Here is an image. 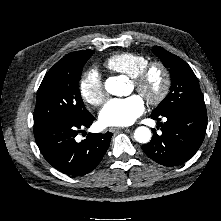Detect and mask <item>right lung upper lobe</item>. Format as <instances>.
I'll return each instance as SVG.
<instances>
[{"instance_id": "obj_1", "label": "right lung upper lobe", "mask_w": 221, "mask_h": 221, "mask_svg": "<svg viewBox=\"0 0 221 221\" xmlns=\"http://www.w3.org/2000/svg\"><path fill=\"white\" fill-rule=\"evenodd\" d=\"M84 51V50H83ZM78 52H82V51H78ZM78 52H73V53H70V54H75V53H78Z\"/></svg>"}]
</instances>
